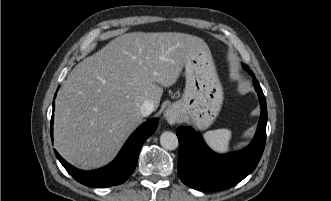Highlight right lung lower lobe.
Here are the masks:
<instances>
[{
  "label": "right lung lower lobe",
  "instance_id": "98d812e1",
  "mask_svg": "<svg viewBox=\"0 0 331 201\" xmlns=\"http://www.w3.org/2000/svg\"><path fill=\"white\" fill-rule=\"evenodd\" d=\"M54 110V102H53ZM158 119L154 118L140 126L128 139L118 157L108 166L96 171H82L67 163L58 152L55 154L63 167L78 182L89 187H108L124 183L134 172L140 149L144 141L154 133ZM51 138L53 137V115L51 119Z\"/></svg>",
  "mask_w": 331,
  "mask_h": 201
}]
</instances>
